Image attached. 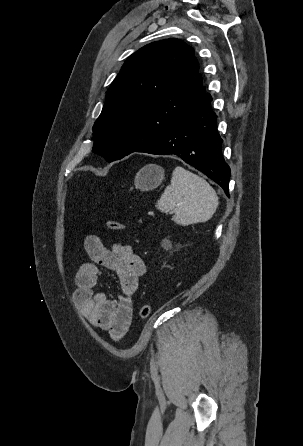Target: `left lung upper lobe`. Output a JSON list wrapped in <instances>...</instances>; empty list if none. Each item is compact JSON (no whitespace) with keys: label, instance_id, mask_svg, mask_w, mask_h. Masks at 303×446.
Wrapping results in <instances>:
<instances>
[{"label":"left lung upper lobe","instance_id":"obj_1","mask_svg":"<svg viewBox=\"0 0 303 446\" xmlns=\"http://www.w3.org/2000/svg\"><path fill=\"white\" fill-rule=\"evenodd\" d=\"M204 92L193 48L174 38L144 46L108 89L93 151L108 162L135 152L165 135Z\"/></svg>","mask_w":303,"mask_h":446}]
</instances>
